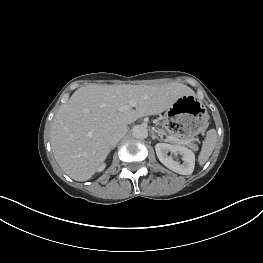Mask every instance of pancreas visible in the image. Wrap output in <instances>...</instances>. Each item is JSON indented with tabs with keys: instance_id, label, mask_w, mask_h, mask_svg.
Instances as JSON below:
<instances>
[{
	"instance_id": "1",
	"label": "pancreas",
	"mask_w": 263,
	"mask_h": 263,
	"mask_svg": "<svg viewBox=\"0 0 263 263\" xmlns=\"http://www.w3.org/2000/svg\"><path fill=\"white\" fill-rule=\"evenodd\" d=\"M168 133L171 135V137L175 138L174 140H170V142H172L174 144L186 145L187 147L193 149L194 151L198 150V146L196 144H194L191 140H189V139H182L178 135L173 134L172 132H168ZM186 140H189V142H185Z\"/></svg>"
}]
</instances>
